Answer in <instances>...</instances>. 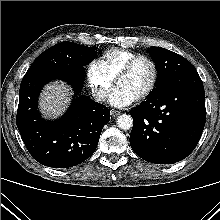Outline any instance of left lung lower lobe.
<instances>
[{"label":"left lung lower lobe","instance_id":"0a47b994","mask_svg":"<svg viewBox=\"0 0 220 220\" xmlns=\"http://www.w3.org/2000/svg\"><path fill=\"white\" fill-rule=\"evenodd\" d=\"M133 151L155 164H173L196 147L205 125V92L196 70L177 74L130 111Z\"/></svg>","mask_w":220,"mask_h":220}]
</instances>
